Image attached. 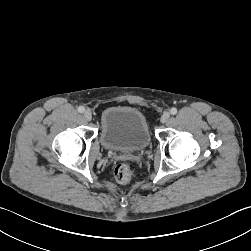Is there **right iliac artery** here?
Masks as SVG:
<instances>
[{
  "instance_id": "1",
  "label": "right iliac artery",
  "mask_w": 251,
  "mask_h": 251,
  "mask_svg": "<svg viewBox=\"0 0 251 251\" xmlns=\"http://www.w3.org/2000/svg\"><path fill=\"white\" fill-rule=\"evenodd\" d=\"M78 111L80 113H83L85 111V108L83 106L78 107Z\"/></svg>"
}]
</instances>
